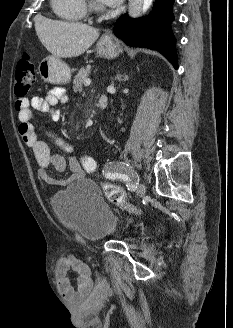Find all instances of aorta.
I'll list each match as a JSON object with an SVG mask.
<instances>
[{"instance_id": "obj_1", "label": "aorta", "mask_w": 233, "mask_h": 328, "mask_svg": "<svg viewBox=\"0 0 233 328\" xmlns=\"http://www.w3.org/2000/svg\"><path fill=\"white\" fill-rule=\"evenodd\" d=\"M153 0H129L128 14L131 17H137L142 12L148 10Z\"/></svg>"}]
</instances>
